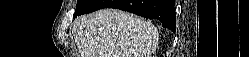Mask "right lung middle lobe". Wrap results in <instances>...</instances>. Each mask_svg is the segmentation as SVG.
Returning a JSON list of instances; mask_svg holds the SVG:
<instances>
[{"label": "right lung middle lobe", "instance_id": "dd1d6c3e", "mask_svg": "<svg viewBox=\"0 0 249 57\" xmlns=\"http://www.w3.org/2000/svg\"><path fill=\"white\" fill-rule=\"evenodd\" d=\"M91 0H78L76 10H82L90 4Z\"/></svg>", "mask_w": 249, "mask_h": 57}]
</instances>
